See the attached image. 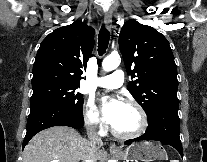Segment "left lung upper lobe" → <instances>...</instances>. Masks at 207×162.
I'll return each instance as SVG.
<instances>
[{"mask_svg":"<svg viewBox=\"0 0 207 162\" xmlns=\"http://www.w3.org/2000/svg\"><path fill=\"white\" fill-rule=\"evenodd\" d=\"M119 48L132 78L128 90L150 118L162 107H178L177 69L167 39L136 20L124 23Z\"/></svg>","mask_w":207,"mask_h":162,"instance_id":"obj_1","label":"left lung upper lobe"}]
</instances>
